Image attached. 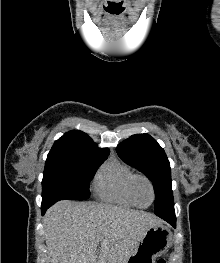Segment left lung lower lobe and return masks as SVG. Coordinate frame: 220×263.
<instances>
[{
    "label": "left lung lower lobe",
    "instance_id": "0a47b994",
    "mask_svg": "<svg viewBox=\"0 0 220 263\" xmlns=\"http://www.w3.org/2000/svg\"><path fill=\"white\" fill-rule=\"evenodd\" d=\"M160 218L166 220L168 223H170L174 228L176 227V217L174 210H168L164 213L156 214Z\"/></svg>",
    "mask_w": 220,
    "mask_h": 263
}]
</instances>
